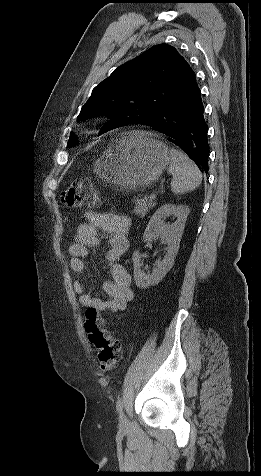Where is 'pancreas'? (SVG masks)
I'll list each match as a JSON object with an SVG mask.
<instances>
[{
    "label": "pancreas",
    "mask_w": 261,
    "mask_h": 476,
    "mask_svg": "<svg viewBox=\"0 0 261 476\" xmlns=\"http://www.w3.org/2000/svg\"><path fill=\"white\" fill-rule=\"evenodd\" d=\"M154 206H155V202L149 199V197L145 196L144 198H140L135 201V207H134L133 213L143 217Z\"/></svg>",
    "instance_id": "1"
}]
</instances>
